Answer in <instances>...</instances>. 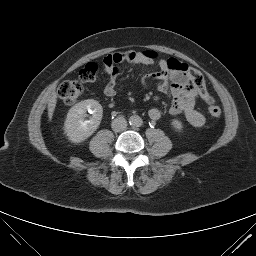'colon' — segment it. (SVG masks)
<instances>
[{
  "label": "colon",
  "mask_w": 256,
  "mask_h": 256,
  "mask_svg": "<svg viewBox=\"0 0 256 256\" xmlns=\"http://www.w3.org/2000/svg\"><path fill=\"white\" fill-rule=\"evenodd\" d=\"M119 60L113 54L107 55L103 64L104 67L114 68L117 66ZM191 84L195 90L200 94L201 98L208 104V112L214 118L221 116V109L215 105L214 98L206 88L205 79L201 72L194 68L186 69ZM99 68L95 62L87 63L79 72V79L81 82H92L98 76ZM83 86L79 81L66 80L59 84L57 93L60 99L67 105H72L83 95Z\"/></svg>",
  "instance_id": "1"
}]
</instances>
